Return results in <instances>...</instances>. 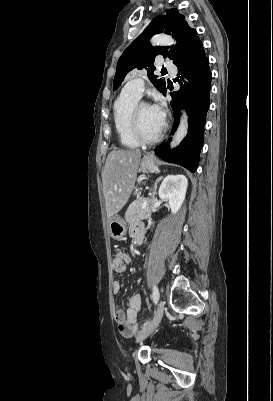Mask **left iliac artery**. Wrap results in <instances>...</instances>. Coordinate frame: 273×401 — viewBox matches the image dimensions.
Returning a JSON list of instances; mask_svg holds the SVG:
<instances>
[{"label": "left iliac artery", "mask_w": 273, "mask_h": 401, "mask_svg": "<svg viewBox=\"0 0 273 401\" xmlns=\"http://www.w3.org/2000/svg\"><path fill=\"white\" fill-rule=\"evenodd\" d=\"M152 298H153L154 303L157 304L158 300H159V291L156 286H153ZM147 323L148 322H146L143 326H145Z\"/></svg>", "instance_id": "44dca946"}]
</instances>
